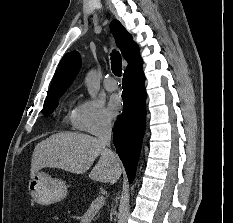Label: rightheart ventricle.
<instances>
[{
	"label": "right heart ventricle",
	"instance_id": "e07e8e85",
	"mask_svg": "<svg viewBox=\"0 0 233 223\" xmlns=\"http://www.w3.org/2000/svg\"><path fill=\"white\" fill-rule=\"evenodd\" d=\"M76 114L77 108H69L62 115L61 124L63 126H70L76 128Z\"/></svg>",
	"mask_w": 233,
	"mask_h": 223
}]
</instances>
